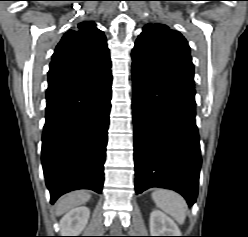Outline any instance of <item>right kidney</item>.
Returning a JSON list of instances; mask_svg holds the SVG:
<instances>
[{
  "label": "right kidney",
  "instance_id": "obj_1",
  "mask_svg": "<svg viewBox=\"0 0 248 237\" xmlns=\"http://www.w3.org/2000/svg\"><path fill=\"white\" fill-rule=\"evenodd\" d=\"M90 217V210L86 206L73 208L60 220L62 236H79L86 227Z\"/></svg>",
  "mask_w": 248,
  "mask_h": 237
}]
</instances>
